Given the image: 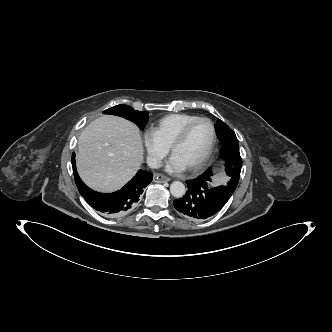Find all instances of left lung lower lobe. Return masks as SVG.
<instances>
[{
  "mask_svg": "<svg viewBox=\"0 0 332 332\" xmlns=\"http://www.w3.org/2000/svg\"><path fill=\"white\" fill-rule=\"evenodd\" d=\"M233 150L242 162L239 147H234ZM186 183L188 191L182 198L174 200V206L176 210L190 219L203 221L212 217L231 197L218 187H210L204 179V175Z\"/></svg>",
  "mask_w": 332,
  "mask_h": 332,
  "instance_id": "left-lung-lower-lobe-1",
  "label": "left lung lower lobe"
}]
</instances>
